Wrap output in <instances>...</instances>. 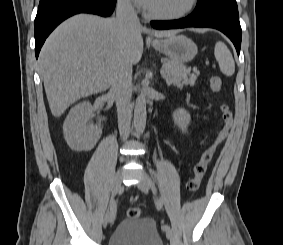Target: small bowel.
<instances>
[{
  "mask_svg": "<svg viewBox=\"0 0 283 245\" xmlns=\"http://www.w3.org/2000/svg\"><path fill=\"white\" fill-rule=\"evenodd\" d=\"M203 119L207 120V116H202Z\"/></svg>",
  "mask_w": 283,
  "mask_h": 245,
  "instance_id": "1",
  "label": "small bowel"
}]
</instances>
